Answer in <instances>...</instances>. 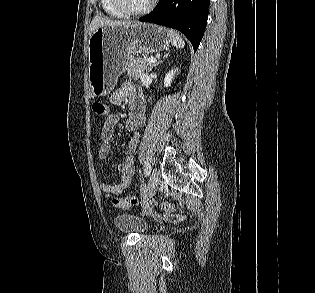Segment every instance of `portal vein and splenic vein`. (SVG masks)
Segmentation results:
<instances>
[{
    "mask_svg": "<svg viewBox=\"0 0 315 293\" xmlns=\"http://www.w3.org/2000/svg\"><path fill=\"white\" fill-rule=\"evenodd\" d=\"M146 61H147L148 63H155V62H156V59L153 58V57H150V58H147Z\"/></svg>",
    "mask_w": 315,
    "mask_h": 293,
    "instance_id": "18ae733b",
    "label": "portal vein and splenic vein"
}]
</instances>
